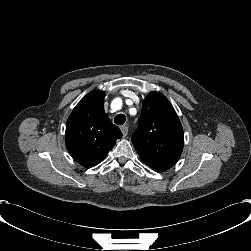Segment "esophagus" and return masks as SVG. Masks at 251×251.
Instances as JSON below:
<instances>
[{"mask_svg":"<svg viewBox=\"0 0 251 251\" xmlns=\"http://www.w3.org/2000/svg\"><path fill=\"white\" fill-rule=\"evenodd\" d=\"M120 130L122 131L123 137H126L128 134V127L126 125L121 126Z\"/></svg>","mask_w":251,"mask_h":251,"instance_id":"34e87169","label":"esophagus"}]
</instances>
